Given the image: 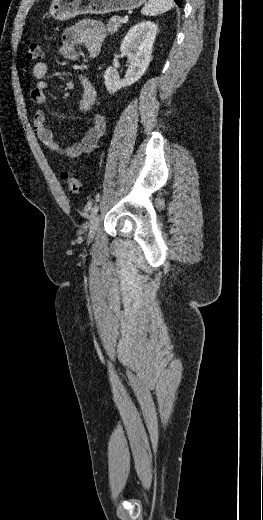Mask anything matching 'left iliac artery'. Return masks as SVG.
Wrapping results in <instances>:
<instances>
[{"mask_svg":"<svg viewBox=\"0 0 263 520\" xmlns=\"http://www.w3.org/2000/svg\"><path fill=\"white\" fill-rule=\"evenodd\" d=\"M97 211H98V205L96 204L93 206V208L91 210V216L94 217L95 214L97 213Z\"/></svg>","mask_w":263,"mask_h":520,"instance_id":"1","label":"left iliac artery"}]
</instances>
